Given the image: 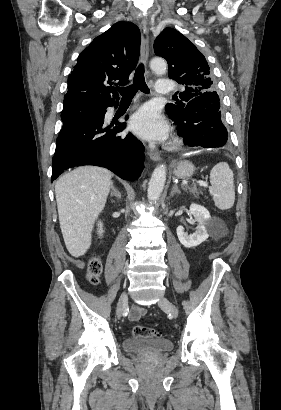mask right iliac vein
I'll list each match as a JSON object with an SVG mask.
<instances>
[{"label": "right iliac vein", "instance_id": "1", "mask_svg": "<svg viewBox=\"0 0 281 410\" xmlns=\"http://www.w3.org/2000/svg\"><path fill=\"white\" fill-rule=\"evenodd\" d=\"M127 304H128V296H127V293L124 292L120 296V299H119L118 305H117V316H118V318H120L123 315Z\"/></svg>", "mask_w": 281, "mask_h": 410}]
</instances>
